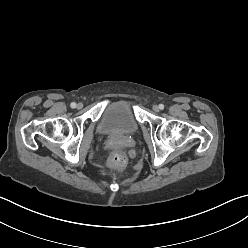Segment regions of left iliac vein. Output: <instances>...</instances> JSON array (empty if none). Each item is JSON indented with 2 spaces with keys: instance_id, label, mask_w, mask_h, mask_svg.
Here are the masks:
<instances>
[{
  "instance_id": "obj_1",
  "label": "left iliac vein",
  "mask_w": 248,
  "mask_h": 248,
  "mask_svg": "<svg viewBox=\"0 0 248 248\" xmlns=\"http://www.w3.org/2000/svg\"><path fill=\"white\" fill-rule=\"evenodd\" d=\"M153 110L155 111V112H158L159 110H160V108H159V106L158 105H153Z\"/></svg>"
}]
</instances>
